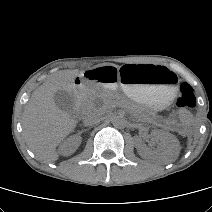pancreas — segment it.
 Listing matches in <instances>:
<instances>
[{
	"label": "pancreas",
	"instance_id": "obj_1",
	"mask_svg": "<svg viewBox=\"0 0 212 212\" xmlns=\"http://www.w3.org/2000/svg\"><path fill=\"white\" fill-rule=\"evenodd\" d=\"M98 97L103 99V102H104L103 109L104 110H108V109L114 108L116 106L122 105L123 107H125L131 111V113L133 114V116L135 117L136 120L146 121L149 119V115L145 112V110L143 108L138 107V106L130 103L128 100L123 99L113 93L97 94L94 92H90L82 100L83 107L85 109L92 108L94 106V100Z\"/></svg>",
	"mask_w": 212,
	"mask_h": 212
}]
</instances>
